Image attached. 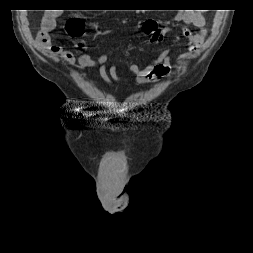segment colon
Wrapping results in <instances>:
<instances>
[{
    "instance_id": "colon-1",
    "label": "colon",
    "mask_w": 253,
    "mask_h": 253,
    "mask_svg": "<svg viewBox=\"0 0 253 253\" xmlns=\"http://www.w3.org/2000/svg\"><path fill=\"white\" fill-rule=\"evenodd\" d=\"M67 30L72 36H81L84 31V23L81 19H71L67 23Z\"/></svg>"
}]
</instances>
